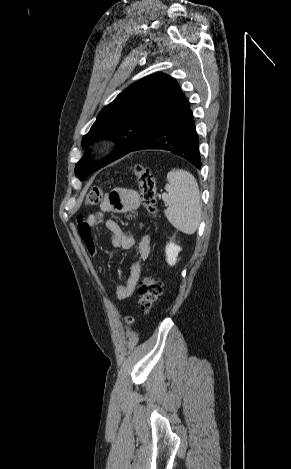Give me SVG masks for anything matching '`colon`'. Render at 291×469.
Returning a JSON list of instances; mask_svg holds the SVG:
<instances>
[{"label":"colon","mask_w":291,"mask_h":469,"mask_svg":"<svg viewBox=\"0 0 291 469\" xmlns=\"http://www.w3.org/2000/svg\"><path fill=\"white\" fill-rule=\"evenodd\" d=\"M131 171L139 185L141 203L146 212L154 216L156 213V181L150 169L144 165L136 164L131 167ZM104 198V189L101 186H95L86 195L87 205H96ZM85 232V231H84ZM138 308L142 314H148L153 305L158 301L163 291L162 283L151 275L142 277L138 283ZM125 323L132 325L135 317L127 315Z\"/></svg>","instance_id":"obj_1"}]
</instances>
